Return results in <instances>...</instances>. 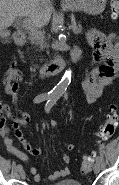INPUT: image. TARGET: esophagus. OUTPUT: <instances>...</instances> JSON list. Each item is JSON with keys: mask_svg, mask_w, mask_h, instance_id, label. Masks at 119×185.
Segmentation results:
<instances>
[{"mask_svg": "<svg viewBox=\"0 0 119 185\" xmlns=\"http://www.w3.org/2000/svg\"><path fill=\"white\" fill-rule=\"evenodd\" d=\"M62 4H71L72 0H61Z\"/></svg>", "mask_w": 119, "mask_h": 185, "instance_id": "1", "label": "esophagus"}]
</instances>
